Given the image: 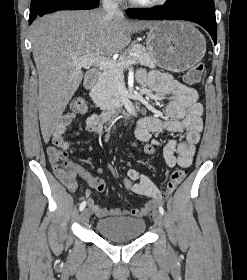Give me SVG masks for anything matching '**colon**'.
Listing matches in <instances>:
<instances>
[{
  "mask_svg": "<svg viewBox=\"0 0 247 280\" xmlns=\"http://www.w3.org/2000/svg\"><path fill=\"white\" fill-rule=\"evenodd\" d=\"M204 72V64L197 63L192 66L184 75V80L188 84H198L201 81ZM70 109L74 114L82 115L87 111L86 101L81 98H75L70 104ZM136 147H140L142 154L144 156H154L156 154V149L152 143H146L145 140L132 139ZM47 153L49 156V161L51 163L52 169L55 174L60 179H71L74 172L73 164L68 160L67 154L60 148L56 146H49L47 148ZM187 171L183 168L176 169L170 176L166 192L168 194L173 193L178 186L185 179ZM120 183L124 188H131L133 186V181L129 176H122L120 178Z\"/></svg>",
  "mask_w": 247,
  "mask_h": 280,
  "instance_id": "colon-1",
  "label": "colon"
}]
</instances>
